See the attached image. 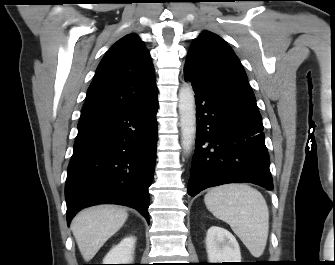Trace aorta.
Wrapping results in <instances>:
<instances>
[{
	"instance_id": "1",
	"label": "aorta",
	"mask_w": 335,
	"mask_h": 265,
	"mask_svg": "<svg viewBox=\"0 0 335 265\" xmlns=\"http://www.w3.org/2000/svg\"><path fill=\"white\" fill-rule=\"evenodd\" d=\"M178 108L180 116L182 147L190 152L196 138V108L193 89L185 84L179 90Z\"/></svg>"
}]
</instances>
